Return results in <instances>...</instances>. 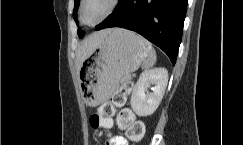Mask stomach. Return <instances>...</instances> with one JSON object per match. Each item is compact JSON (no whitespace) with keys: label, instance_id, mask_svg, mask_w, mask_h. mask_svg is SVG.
<instances>
[{"label":"stomach","instance_id":"0dacf381","mask_svg":"<svg viewBox=\"0 0 243 145\" xmlns=\"http://www.w3.org/2000/svg\"><path fill=\"white\" fill-rule=\"evenodd\" d=\"M148 44L131 31L111 29L81 67L83 101L90 106L108 101L122 77L135 71L149 55Z\"/></svg>","mask_w":243,"mask_h":145}]
</instances>
